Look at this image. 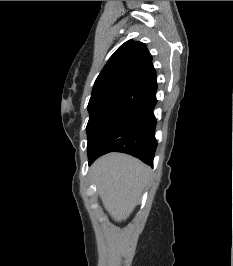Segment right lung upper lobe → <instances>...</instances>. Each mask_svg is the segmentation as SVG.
Returning <instances> with one entry per match:
<instances>
[{"mask_svg":"<svg viewBox=\"0 0 233 266\" xmlns=\"http://www.w3.org/2000/svg\"><path fill=\"white\" fill-rule=\"evenodd\" d=\"M156 87V72L146 45L129 40L115 51L100 72L90 100L117 92L149 93Z\"/></svg>","mask_w":233,"mask_h":266,"instance_id":"obj_1","label":"right lung upper lobe"}]
</instances>
